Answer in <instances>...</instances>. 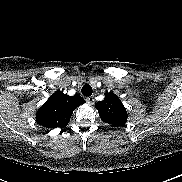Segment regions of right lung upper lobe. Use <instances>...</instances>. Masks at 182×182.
<instances>
[{"instance_id": "1", "label": "right lung upper lobe", "mask_w": 182, "mask_h": 182, "mask_svg": "<svg viewBox=\"0 0 182 182\" xmlns=\"http://www.w3.org/2000/svg\"><path fill=\"white\" fill-rule=\"evenodd\" d=\"M84 103L85 100L78 94L68 96L57 91L39 108L36 113V122L47 128L65 127L73 111Z\"/></svg>"}]
</instances>
